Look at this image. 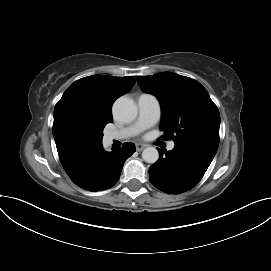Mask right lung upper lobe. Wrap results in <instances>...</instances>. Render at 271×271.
I'll list each match as a JSON object with an SVG mask.
<instances>
[{"mask_svg": "<svg viewBox=\"0 0 271 271\" xmlns=\"http://www.w3.org/2000/svg\"><path fill=\"white\" fill-rule=\"evenodd\" d=\"M135 81V76L93 75L75 81L65 91L55 106L52 128L59 159L65 170L102 146V141L78 132L75 126L93 120L112 122L113 102L129 92Z\"/></svg>", "mask_w": 271, "mask_h": 271, "instance_id": "right-lung-upper-lobe-1", "label": "right lung upper lobe"}]
</instances>
